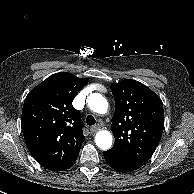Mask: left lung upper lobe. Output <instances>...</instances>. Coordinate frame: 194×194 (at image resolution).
I'll return each mask as SVG.
<instances>
[{
	"label": "left lung upper lobe",
	"instance_id": "1",
	"mask_svg": "<svg viewBox=\"0 0 194 194\" xmlns=\"http://www.w3.org/2000/svg\"><path fill=\"white\" fill-rule=\"evenodd\" d=\"M115 113L114 146L107 152L143 166L153 155L164 128L161 99L144 84L125 79L111 84Z\"/></svg>",
	"mask_w": 194,
	"mask_h": 194
}]
</instances>
